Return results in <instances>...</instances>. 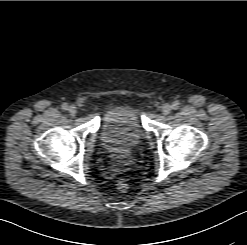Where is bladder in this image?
Masks as SVG:
<instances>
[{"instance_id":"1","label":"bladder","mask_w":247,"mask_h":245,"mask_svg":"<svg viewBox=\"0 0 247 245\" xmlns=\"http://www.w3.org/2000/svg\"><path fill=\"white\" fill-rule=\"evenodd\" d=\"M144 129L137 108L128 103H115L101 116L98 142L103 151L133 150L143 140Z\"/></svg>"}]
</instances>
